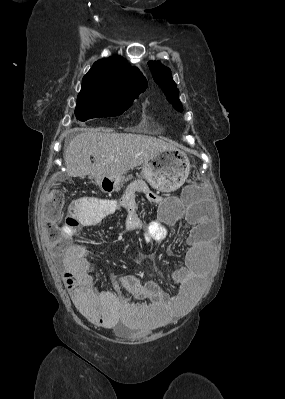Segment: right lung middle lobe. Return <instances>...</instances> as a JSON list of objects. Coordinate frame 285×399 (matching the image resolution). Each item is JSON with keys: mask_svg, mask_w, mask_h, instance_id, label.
<instances>
[{"mask_svg": "<svg viewBox=\"0 0 285 399\" xmlns=\"http://www.w3.org/2000/svg\"><path fill=\"white\" fill-rule=\"evenodd\" d=\"M139 94L117 95L106 98H78L76 118L86 121L92 118L113 117L127 110Z\"/></svg>", "mask_w": 285, "mask_h": 399, "instance_id": "dd1d6c3e", "label": "right lung middle lobe"}]
</instances>
